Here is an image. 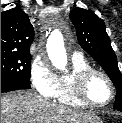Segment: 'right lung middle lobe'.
<instances>
[{
	"label": "right lung middle lobe",
	"instance_id": "right-lung-middle-lobe-1",
	"mask_svg": "<svg viewBox=\"0 0 122 123\" xmlns=\"http://www.w3.org/2000/svg\"><path fill=\"white\" fill-rule=\"evenodd\" d=\"M31 54L1 52V78L30 82Z\"/></svg>",
	"mask_w": 122,
	"mask_h": 123
}]
</instances>
